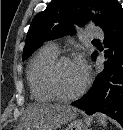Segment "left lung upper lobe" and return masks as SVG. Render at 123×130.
I'll list each match as a JSON object with an SVG mask.
<instances>
[{"instance_id":"left-lung-upper-lobe-1","label":"left lung upper lobe","mask_w":123,"mask_h":130,"mask_svg":"<svg viewBox=\"0 0 123 130\" xmlns=\"http://www.w3.org/2000/svg\"><path fill=\"white\" fill-rule=\"evenodd\" d=\"M89 8L102 11L93 15ZM117 0H54L47 8L38 13L30 25L23 50L26 59L43 42L73 33L75 25L83 26L89 20L106 30L114 21L119 9ZM96 54L93 53L92 57Z\"/></svg>"}]
</instances>
